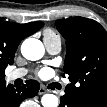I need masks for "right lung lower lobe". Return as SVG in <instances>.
<instances>
[{"mask_svg":"<svg viewBox=\"0 0 107 107\" xmlns=\"http://www.w3.org/2000/svg\"><path fill=\"white\" fill-rule=\"evenodd\" d=\"M39 88L40 84L35 80H28L16 89L11 84L6 86L4 80L0 82V107H19L25 98L36 96Z\"/></svg>","mask_w":107,"mask_h":107,"instance_id":"1","label":"right lung lower lobe"}]
</instances>
